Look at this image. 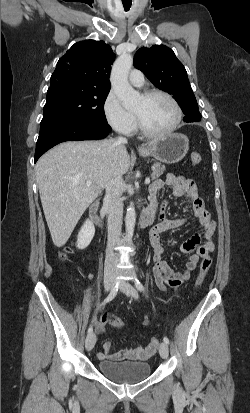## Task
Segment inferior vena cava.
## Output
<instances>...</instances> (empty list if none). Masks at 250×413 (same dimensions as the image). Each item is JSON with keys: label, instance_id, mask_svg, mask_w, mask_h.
<instances>
[{"label": "inferior vena cava", "instance_id": "obj_1", "mask_svg": "<svg viewBox=\"0 0 250 413\" xmlns=\"http://www.w3.org/2000/svg\"><path fill=\"white\" fill-rule=\"evenodd\" d=\"M116 142L117 144H124L127 143V139L118 137ZM121 186L122 179L120 176L112 178L106 185L104 204L108 207V248L105 261L107 269L117 265V256L113 251V247L120 242L122 229L123 202L121 200Z\"/></svg>", "mask_w": 250, "mask_h": 413}]
</instances>
